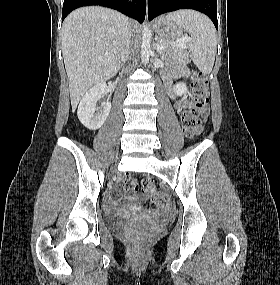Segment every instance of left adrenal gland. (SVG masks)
<instances>
[{"mask_svg":"<svg viewBox=\"0 0 280 285\" xmlns=\"http://www.w3.org/2000/svg\"><path fill=\"white\" fill-rule=\"evenodd\" d=\"M156 47V43H154V48Z\"/></svg>","mask_w":280,"mask_h":285,"instance_id":"obj_1","label":"left adrenal gland"}]
</instances>
